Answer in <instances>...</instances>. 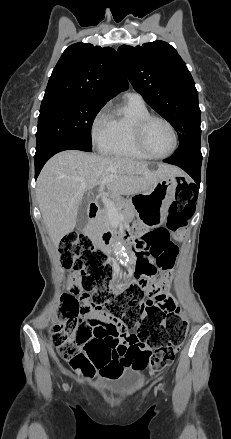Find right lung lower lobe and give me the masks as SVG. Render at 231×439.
<instances>
[{"label":"right lung lower lobe","mask_w":231,"mask_h":439,"mask_svg":"<svg viewBox=\"0 0 231 439\" xmlns=\"http://www.w3.org/2000/svg\"><path fill=\"white\" fill-rule=\"evenodd\" d=\"M81 150V151H87L91 152L92 149H89L83 145H80L77 142L69 141V140H59L55 142L54 144L50 145L45 151H43L40 154H35L34 161H35V178L39 175L42 167L47 162L49 158H51L53 155L60 151L64 150Z\"/></svg>","instance_id":"98d812e1"}]
</instances>
